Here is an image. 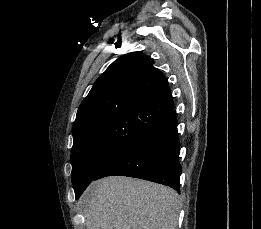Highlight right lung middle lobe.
Listing matches in <instances>:
<instances>
[{
  "mask_svg": "<svg viewBox=\"0 0 261 229\" xmlns=\"http://www.w3.org/2000/svg\"><path fill=\"white\" fill-rule=\"evenodd\" d=\"M149 131H140L138 140ZM130 147L109 144L81 143L73 145L71 154L72 183L76 199L86 187L109 164L121 156Z\"/></svg>",
  "mask_w": 261,
  "mask_h": 229,
  "instance_id": "obj_1",
  "label": "right lung middle lobe"
}]
</instances>
